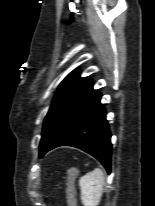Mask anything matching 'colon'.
Masks as SVG:
<instances>
[{"mask_svg":"<svg viewBox=\"0 0 155 206\" xmlns=\"http://www.w3.org/2000/svg\"><path fill=\"white\" fill-rule=\"evenodd\" d=\"M67 202L69 206H78L75 197V188L70 184L67 188Z\"/></svg>","mask_w":155,"mask_h":206,"instance_id":"colon-1","label":"colon"}]
</instances>
